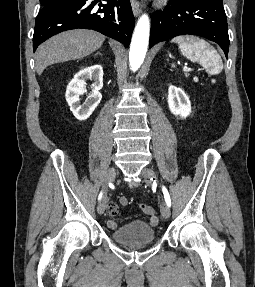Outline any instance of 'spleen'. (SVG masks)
Returning <instances> with one entry per match:
<instances>
[{
	"label": "spleen",
	"instance_id": "3e777b00",
	"mask_svg": "<svg viewBox=\"0 0 255 287\" xmlns=\"http://www.w3.org/2000/svg\"><path fill=\"white\" fill-rule=\"evenodd\" d=\"M171 42L178 44L182 56H186L191 62H202L212 74H219L223 70L219 54L205 40H198L195 36H177ZM172 68H175L174 64Z\"/></svg>",
	"mask_w": 255,
	"mask_h": 287
}]
</instances>
